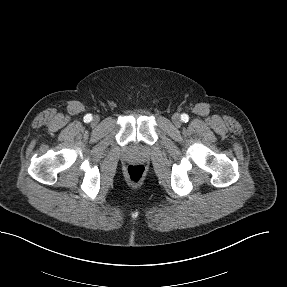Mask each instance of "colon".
<instances>
[{
	"label": "colon",
	"mask_w": 287,
	"mask_h": 287,
	"mask_svg": "<svg viewBox=\"0 0 287 287\" xmlns=\"http://www.w3.org/2000/svg\"><path fill=\"white\" fill-rule=\"evenodd\" d=\"M126 175L130 181L138 183L145 176V167L141 164H130L126 168Z\"/></svg>",
	"instance_id": "5ec220e1"
}]
</instances>
